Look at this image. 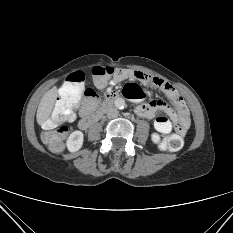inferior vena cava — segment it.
<instances>
[{
  "instance_id": "1",
  "label": "inferior vena cava",
  "mask_w": 233,
  "mask_h": 233,
  "mask_svg": "<svg viewBox=\"0 0 233 233\" xmlns=\"http://www.w3.org/2000/svg\"><path fill=\"white\" fill-rule=\"evenodd\" d=\"M117 116H118L117 109L114 107L109 108V110L107 111V117L108 118H116Z\"/></svg>"
}]
</instances>
